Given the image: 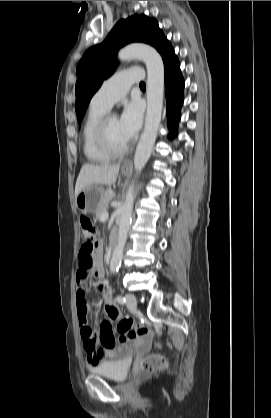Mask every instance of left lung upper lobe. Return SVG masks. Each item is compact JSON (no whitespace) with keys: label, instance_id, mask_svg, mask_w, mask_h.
Instances as JSON below:
<instances>
[{"label":"left lung upper lobe","instance_id":"left-lung-upper-lobe-1","mask_svg":"<svg viewBox=\"0 0 271 418\" xmlns=\"http://www.w3.org/2000/svg\"><path fill=\"white\" fill-rule=\"evenodd\" d=\"M165 40L154 18L136 14L120 20L102 43L88 49L77 66L75 109L78 122L82 121L90 99L102 82L113 74L119 48L131 42H143L160 51Z\"/></svg>","mask_w":271,"mask_h":418}]
</instances>
